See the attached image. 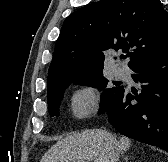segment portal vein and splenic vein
<instances>
[{
  "instance_id": "1",
  "label": "portal vein and splenic vein",
  "mask_w": 168,
  "mask_h": 162,
  "mask_svg": "<svg viewBox=\"0 0 168 162\" xmlns=\"http://www.w3.org/2000/svg\"><path fill=\"white\" fill-rule=\"evenodd\" d=\"M78 162H86V161L81 160V161H78Z\"/></svg>"
}]
</instances>
